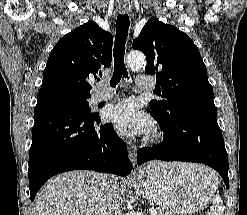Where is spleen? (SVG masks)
Listing matches in <instances>:
<instances>
[{
    "label": "spleen",
    "instance_id": "spleen-1",
    "mask_svg": "<svg viewBox=\"0 0 247 215\" xmlns=\"http://www.w3.org/2000/svg\"><path fill=\"white\" fill-rule=\"evenodd\" d=\"M211 215H224V205L221 197L216 194L212 198V206L210 207Z\"/></svg>",
    "mask_w": 247,
    "mask_h": 215
}]
</instances>
